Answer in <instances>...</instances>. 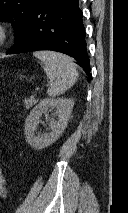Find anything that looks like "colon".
Wrapping results in <instances>:
<instances>
[{
	"label": "colon",
	"mask_w": 128,
	"mask_h": 213,
	"mask_svg": "<svg viewBox=\"0 0 128 213\" xmlns=\"http://www.w3.org/2000/svg\"><path fill=\"white\" fill-rule=\"evenodd\" d=\"M5 196H6L5 180L2 174V169L0 168V198H4Z\"/></svg>",
	"instance_id": "5ec220e1"
}]
</instances>
